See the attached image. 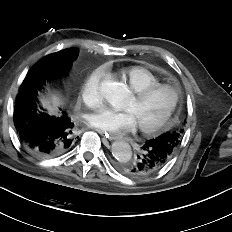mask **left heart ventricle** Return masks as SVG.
<instances>
[{
	"instance_id": "1",
	"label": "left heart ventricle",
	"mask_w": 232,
	"mask_h": 232,
	"mask_svg": "<svg viewBox=\"0 0 232 232\" xmlns=\"http://www.w3.org/2000/svg\"><path fill=\"white\" fill-rule=\"evenodd\" d=\"M172 99L169 90H159L142 101L131 97L124 109L132 112L138 125H149L163 117Z\"/></svg>"
}]
</instances>
